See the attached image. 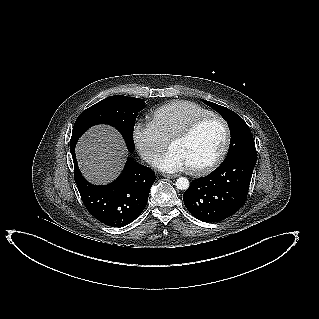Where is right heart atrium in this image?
Wrapping results in <instances>:
<instances>
[{
	"mask_svg": "<svg viewBox=\"0 0 319 319\" xmlns=\"http://www.w3.org/2000/svg\"><path fill=\"white\" fill-rule=\"evenodd\" d=\"M132 140L138 153L147 163H152L167 147V140L148 121H138L134 124Z\"/></svg>",
	"mask_w": 319,
	"mask_h": 319,
	"instance_id": "obj_1",
	"label": "right heart atrium"
}]
</instances>
